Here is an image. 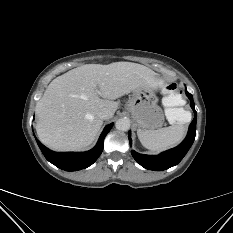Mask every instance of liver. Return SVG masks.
Instances as JSON below:
<instances>
[{
    "instance_id": "1",
    "label": "liver",
    "mask_w": 233,
    "mask_h": 233,
    "mask_svg": "<svg viewBox=\"0 0 233 233\" xmlns=\"http://www.w3.org/2000/svg\"><path fill=\"white\" fill-rule=\"evenodd\" d=\"M139 86L153 90L159 82L151 69L132 62L86 64L58 76L36 104L39 140L56 151L89 146L103 124L98 112L114 113V100Z\"/></svg>"
}]
</instances>
